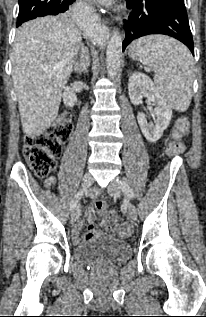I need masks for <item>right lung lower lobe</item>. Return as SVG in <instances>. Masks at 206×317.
I'll list each match as a JSON object with an SVG mask.
<instances>
[{"instance_id": "obj_1", "label": "right lung lower lobe", "mask_w": 206, "mask_h": 317, "mask_svg": "<svg viewBox=\"0 0 206 317\" xmlns=\"http://www.w3.org/2000/svg\"><path fill=\"white\" fill-rule=\"evenodd\" d=\"M74 1L75 0H60L55 6L60 11V13H64L66 10H68L69 5L72 4Z\"/></svg>"}]
</instances>
